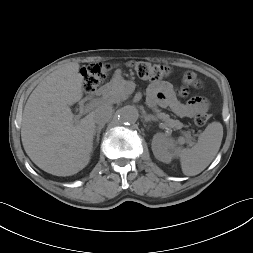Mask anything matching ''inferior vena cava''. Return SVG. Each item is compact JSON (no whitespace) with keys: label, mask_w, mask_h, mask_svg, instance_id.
Returning a JSON list of instances; mask_svg holds the SVG:
<instances>
[{"label":"inferior vena cava","mask_w":253,"mask_h":253,"mask_svg":"<svg viewBox=\"0 0 253 253\" xmlns=\"http://www.w3.org/2000/svg\"><path fill=\"white\" fill-rule=\"evenodd\" d=\"M112 114L113 109L110 105H101L94 111V121L98 126L105 125L111 119Z\"/></svg>","instance_id":"obj_1"}]
</instances>
